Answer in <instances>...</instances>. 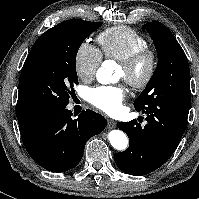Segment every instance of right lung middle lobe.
Listing matches in <instances>:
<instances>
[{
  "mask_svg": "<svg viewBox=\"0 0 199 199\" xmlns=\"http://www.w3.org/2000/svg\"><path fill=\"white\" fill-rule=\"evenodd\" d=\"M101 25L71 19L37 39L22 68L16 112L38 119L67 106L73 87L78 84V49Z\"/></svg>",
  "mask_w": 199,
  "mask_h": 199,
  "instance_id": "dd1d6c3e",
  "label": "right lung middle lobe"
}]
</instances>
